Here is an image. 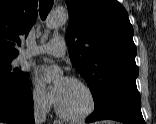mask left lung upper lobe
Listing matches in <instances>:
<instances>
[{"label":"left lung upper lobe","instance_id":"1","mask_svg":"<svg viewBox=\"0 0 156 124\" xmlns=\"http://www.w3.org/2000/svg\"><path fill=\"white\" fill-rule=\"evenodd\" d=\"M69 56L86 80L95 108L111 99L141 103L133 27L117 0H66Z\"/></svg>","mask_w":156,"mask_h":124}]
</instances>
